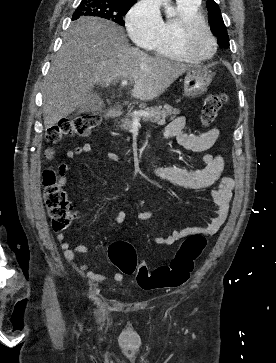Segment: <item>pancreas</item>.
Returning <instances> with one entry per match:
<instances>
[{"label":"pancreas","instance_id":"1","mask_svg":"<svg viewBox=\"0 0 276 363\" xmlns=\"http://www.w3.org/2000/svg\"><path fill=\"white\" fill-rule=\"evenodd\" d=\"M145 111L150 115L143 117L141 115L128 112L125 117L120 120V127L125 130L131 129L135 118H142L144 121H150L153 123H158L159 125H163L165 124L167 117H175V115L179 114V110L173 108L170 105L146 108Z\"/></svg>","mask_w":276,"mask_h":363}]
</instances>
